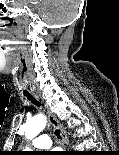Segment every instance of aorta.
Returning <instances> with one entry per match:
<instances>
[{
    "mask_svg": "<svg viewBox=\"0 0 119 155\" xmlns=\"http://www.w3.org/2000/svg\"><path fill=\"white\" fill-rule=\"evenodd\" d=\"M46 117L42 114L27 120L25 124V135L28 139L36 137L46 126Z\"/></svg>",
    "mask_w": 119,
    "mask_h": 155,
    "instance_id": "obj_1",
    "label": "aorta"
}]
</instances>
